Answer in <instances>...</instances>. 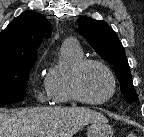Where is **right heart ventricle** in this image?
Instances as JSON below:
<instances>
[{
  "mask_svg": "<svg viewBox=\"0 0 144 137\" xmlns=\"http://www.w3.org/2000/svg\"><path fill=\"white\" fill-rule=\"evenodd\" d=\"M84 59V51L77 41L67 39L62 43L55 63L45 75V85L54 103L68 104L75 101L70 89L71 74Z\"/></svg>",
  "mask_w": 144,
  "mask_h": 137,
  "instance_id": "obj_1",
  "label": "right heart ventricle"
}]
</instances>
